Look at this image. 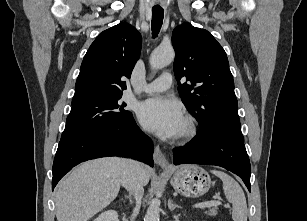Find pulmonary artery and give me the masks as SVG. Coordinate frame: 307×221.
Instances as JSON below:
<instances>
[{
  "mask_svg": "<svg viewBox=\"0 0 307 221\" xmlns=\"http://www.w3.org/2000/svg\"><path fill=\"white\" fill-rule=\"evenodd\" d=\"M172 85V75L170 73H164L159 78L144 86L143 92L151 94L155 92H163L168 90Z\"/></svg>",
  "mask_w": 307,
  "mask_h": 221,
  "instance_id": "obj_1",
  "label": "pulmonary artery"
}]
</instances>
